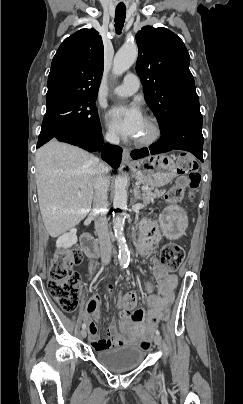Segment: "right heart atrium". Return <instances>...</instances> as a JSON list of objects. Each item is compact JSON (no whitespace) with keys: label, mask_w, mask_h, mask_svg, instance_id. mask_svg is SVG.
<instances>
[{"label":"right heart atrium","mask_w":243,"mask_h":404,"mask_svg":"<svg viewBox=\"0 0 243 404\" xmlns=\"http://www.w3.org/2000/svg\"><path fill=\"white\" fill-rule=\"evenodd\" d=\"M104 139L112 145H117L120 142V138L118 137V135L111 131H108L104 134Z\"/></svg>","instance_id":"obj_1"}]
</instances>
